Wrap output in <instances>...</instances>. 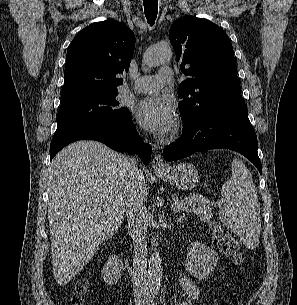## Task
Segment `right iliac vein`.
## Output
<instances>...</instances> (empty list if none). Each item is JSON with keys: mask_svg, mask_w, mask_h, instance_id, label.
<instances>
[{"mask_svg": "<svg viewBox=\"0 0 297 305\" xmlns=\"http://www.w3.org/2000/svg\"><path fill=\"white\" fill-rule=\"evenodd\" d=\"M136 305H146V304H144V303H138V304H136Z\"/></svg>", "mask_w": 297, "mask_h": 305, "instance_id": "1", "label": "right iliac vein"}]
</instances>
